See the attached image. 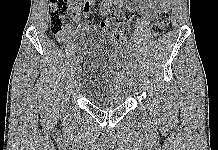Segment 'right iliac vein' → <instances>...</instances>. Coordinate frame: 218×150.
I'll use <instances>...</instances> for the list:
<instances>
[{
	"label": "right iliac vein",
	"instance_id": "1",
	"mask_svg": "<svg viewBox=\"0 0 218 150\" xmlns=\"http://www.w3.org/2000/svg\"><path fill=\"white\" fill-rule=\"evenodd\" d=\"M77 71L74 73V75H73V79H74V82H76L77 81Z\"/></svg>",
	"mask_w": 218,
	"mask_h": 150
}]
</instances>
